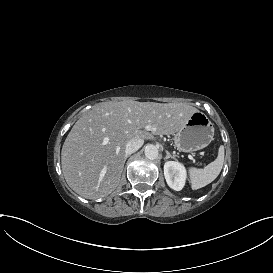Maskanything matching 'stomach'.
I'll use <instances>...</instances> for the list:
<instances>
[{"mask_svg":"<svg viewBox=\"0 0 273 273\" xmlns=\"http://www.w3.org/2000/svg\"><path fill=\"white\" fill-rule=\"evenodd\" d=\"M213 136V124L204 113L197 111L176 132L174 142L179 150L191 152L207 147Z\"/></svg>","mask_w":273,"mask_h":273,"instance_id":"stomach-1","label":"stomach"}]
</instances>
